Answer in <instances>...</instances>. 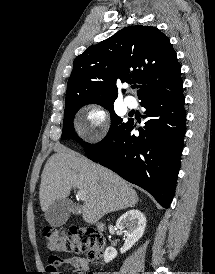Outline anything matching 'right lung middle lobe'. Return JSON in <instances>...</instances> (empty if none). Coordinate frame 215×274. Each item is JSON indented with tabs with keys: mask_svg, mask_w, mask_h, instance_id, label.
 I'll return each instance as SVG.
<instances>
[{
	"mask_svg": "<svg viewBox=\"0 0 215 274\" xmlns=\"http://www.w3.org/2000/svg\"><path fill=\"white\" fill-rule=\"evenodd\" d=\"M91 102H81V103H77V104H72V105H68L65 106V115H64V121H63V132H62V139H68L71 138L72 136H74L73 133V119L74 116L76 114V112L84 105L90 104ZM103 107H105L106 109H108L111 113V127L109 129V132L107 134V136L102 140L104 141L106 138H108L109 136H111L113 133H115L116 131H118L121 127H123L125 125V123L123 122V120L118 117L113 110V102H100L97 103ZM78 140V142L84 147V148H89L91 146H93L92 144L86 143L83 140L76 138ZM101 141V142H102ZM100 143V142H99Z\"/></svg>",
	"mask_w": 215,
	"mask_h": 274,
	"instance_id": "right-lung-middle-lobe-1",
	"label": "right lung middle lobe"
}]
</instances>
